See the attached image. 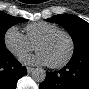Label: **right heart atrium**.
<instances>
[{
    "label": "right heart atrium",
    "instance_id": "1",
    "mask_svg": "<svg viewBox=\"0 0 89 89\" xmlns=\"http://www.w3.org/2000/svg\"><path fill=\"white\" fill-rule=\"evenodd\" d=\"M4 44L16 58H21L35 49V45L16 26H12L6 30Z\"/></svg>",
    "mask_w": 89,
    "mask_h": 89
}]
</instances>
